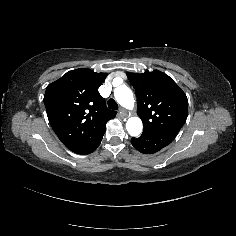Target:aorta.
I'll use <instances>...</instances> for the list:
<instances>
[{"label": "aorta", "instance_id": "1", "mask_svg": "<svg viewBox=\"0 0 236 236\" xmlns=\"http://www.w3.org/2000/svg\"><path fill=\"white\" fill-rule=\"evenodd\" d=\"M116 101L127 108H131L134 102L132 90L125 84L114 88L113 91ZM126 129L130 136L139 137L142 133L143 125L140 119L131 118L126 123Z\"/></svg>", "mask_w": 236, "mask_h": 236}]
</instances>
